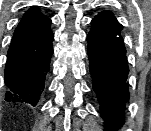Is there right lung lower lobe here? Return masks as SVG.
<instances>
[{
    "instance_id": "1",
    "label": "right lung lower lobe",
    "mask_w": 151,
    "mask_h": 131,
    "mask_svg": "<svg viewBox=\"0 0 151 131\" xmlns=\"http://www.w3.org/2000/svg\"><path fill=\"white\" fill-rule=\"evenodd\" d=\"M49 53L44 62L34 71L14 82L6 83L7 90L4 95L2 94L6 101L25 102L36 106L44 88L46 74L50 70L49 63L53 48L50 49Z\"/></svg>"
}]
</instances>
